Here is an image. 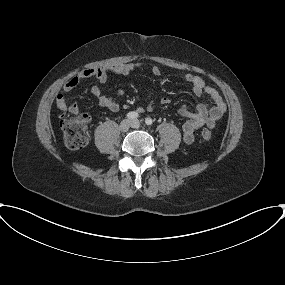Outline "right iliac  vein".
<instances>
[{"label": "right iliac vein", "instance_id": "63e3f726", "mask_svg": "<svg viewBox=\"0 0 285 285\" xmlns=\"http://www.w3.org/2000/svg\"><path fill=\"white\" fill-rule=\"evenodd\" d=\"M131 126V121L126 119L120 123L119 129L121 132H127Z\"/></svg>", "mask_w": 285, "mask_h": 285}]
</instances>
